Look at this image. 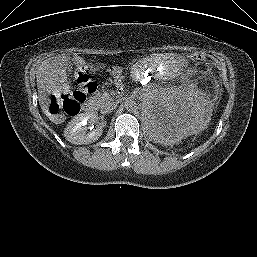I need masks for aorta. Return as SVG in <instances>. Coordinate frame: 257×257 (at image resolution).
Here are the masks:
<instances>
[{
	"label": "aorta",
	"instance_id": "obj_1",
	"mask_svg": "<svg viewBox=\"0 0 257 257\" xmlns=\"http://www.w3.org/2000/svg\"><path fill=\"white\" fill-rule=\"evenodd\" d=\"M125 108L128 112H134L137 109V103L133 100H129L125 103Z\"/></svg>",
	"mask_w": 257,
	"mask_h": 257
}]
</instances>
